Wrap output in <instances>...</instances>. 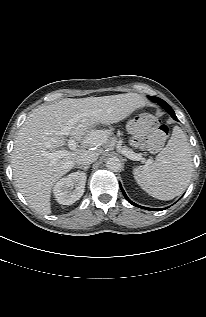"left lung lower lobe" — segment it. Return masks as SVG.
<instances>
[{
  "label": "left lung lower lobe",
  "instance_id": "obj_1",
  "mask_svg": "<svg viewBox=\"0 0 206 317\" xmlns=\"http://www.w3.org/2000/svg\"><path fill=\"white\" fill-rule=\"evenodd\" d=\"M149 99L152 100L150 97H149ZM170 114H171V116H172L175 120H177L174 111H170ZM120 188H121V191H122L123 195H124L125 198L127 199V201H128L130 204L134 205V206H137V207H139V208L146 209V210H151V211H159V210H164V209H167V208H168V207H167V208H163V209H153V208H147V207L140 206V205H138V204L132 202V201L127 197V195L125 194V192H124V190H123V188H122L121 185H120Z\"/></svg>",
  "mask_w": 206,
  "mask_h": 317
}]
</instances>
